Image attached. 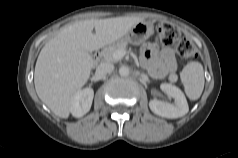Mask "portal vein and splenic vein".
<instances>
[{
	"mask_svg": "<svg viewBox=\"0 0 238 158\" xmlns=\"http://www.w3.org/2000/svg\"><path fill=\"white\" fill-rule=\"evenodd\" d=\"M126 54V51L125 50H117L115 53H114V58L116 60H121Z\"/></svg>",
	"mask_w": 238,
	"mask_h": 158,
	"instance_id": "18ae733b",
	"label": "portal vein and splenic vein"
}]
</instances>
